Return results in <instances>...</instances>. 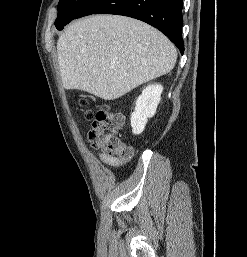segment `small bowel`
<instances>
[{
  "instance_id": "1",
  "label": "small bowel",
  "mask_w": 247,
  "mask_h": 257,
  "mask_svg": "<svg viewBox=\"0 0 247 257\" xmlns=\"http://www.w3.org/2000/svg\"><path fill=\"white\" fill-rule=\"evenodd\" d=\"M132 153H133V150H132ZM98 157L103 163H105L109 166H112V167H118V166H121L122 164H124L132 156L129 159H124V158H120V157L109 156V155L105 154L104 152H100V153H98Z\"/></svg>"
}]
</instances>
